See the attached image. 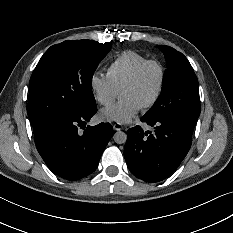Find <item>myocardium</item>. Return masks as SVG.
Masks as SVG:
<instances>
[{
	"mask_svg": "<svg viewBox=\"0 0 233 233\" xmlns=\"http://www.w3.org/2000/svg\"><path fill=\"white\" fill-rule=\"evenodd\" d=\"M150 65L158 66L160 70V81H159V85H158V88H157V91L154 97L148 103L143 105L144 109H150L154 107L158 103V101L160 100L163 94L165 83H166L167 72H166V67L162 61L158 59L145 60L134 70V72L127 78V80L122 84V87H121V89H123V88L131 87L134 84H136L140 76L144 72V70Z\"/></svg>",
	"mask_w": 233,
	"mask_h": 233,
	"instance_id": "obj_1",
	"label": "myocardium"
}]
</instances>
